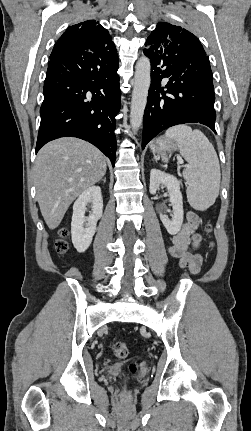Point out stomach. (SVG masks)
<instances>
[{"label": "stomach", "instance_id": "stomach-1", "mask_svg": "<svg viewBox=\"0 0 251 431\" xmlns=\"http://www.w3.org/2000/svg\"><path fill=\"white\" fill-rule=\"evenodd\" d=\"M150 148L152 152L158 155L171 154L178 149V142L175 140H168L163 137L151 143Z\"/></svg>", "mask_w": 251, "mask_h": 431}]
</instances>
